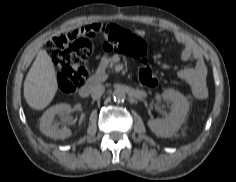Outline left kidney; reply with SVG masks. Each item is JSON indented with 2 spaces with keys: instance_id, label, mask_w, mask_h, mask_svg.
<instances>
[{
  "instance_id": "left-kidney-1",
  "label": "left kidney",
  "mask_w": 236,
  "mask_h": 182,
  "mask_svg": "<svg viewBox=\"0 0 236 182\" xmlns=\"http://www.w3.org/2000/svg\"><path fill=\"white\" fill-rule=\"evenodd\" d=\"M165 101L171 103V111L164 119L148 120V127L159 137H171L181 127L189 111V102L180 92L166 89L161 94Z\"/></svg>"
}]
</instances>
